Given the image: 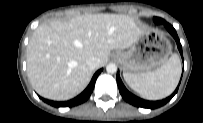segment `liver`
Masks as SVG:
<instances>
[{
    "label": "liver",
    "instance_id": "obj_1",
    "mask_svg": "<svg viewBox=\"0 0 203 123\" xmlns=\"http://www.w3.org/2000/svg\"><path fill=\"white\" fill-rule=\"evenodd\" d=\"M148 29L123 14H88L69 21L51 20L34 31L27 46V75L44 98L64 101L81 93L93 70L90 56L100 68L111 50H123Z\"/></svg>",
    "mask_w": 203,
    "mask_h": 123
}]
</instances>
